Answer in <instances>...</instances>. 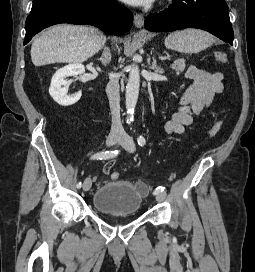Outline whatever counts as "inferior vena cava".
<instances>
[{"label": "inferior vena cava", "instance_id": "inferior-vena-cava-1", "mask_svg": "<svg viewBox=\"0 0 255 272\" xmlns=\"http://www.w3.org/2000/svg\"><path fill=\"white\" fill-rule=\"evenodd\" d=\"M106 93L109 99V105L112 116L111 133L124 134V129L120 118V95L119 81L117 78H111L106 86Z\"/></svg>", "mask_w": 255, "mask_h": 272}]
</instances>
